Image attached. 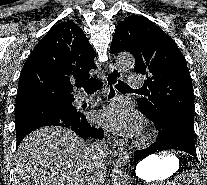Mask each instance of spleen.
<instances>
[{
    "label": "spleen",
    "instance_id": "spleen-1",
    "mask_svg": "<svg viewBox=\"0 0 207 185\" xmlns=\"http://www.w3.org/2000/svg\"><path fill=\"white\" fill-rule=\"evenodd\" d=\"M201 183V174H197V170H184L183 174H179V178H175L172 185H198Z\"/></svg>",
    "mask_w": 207,
    "mask_h": 185
}]
</instances>
